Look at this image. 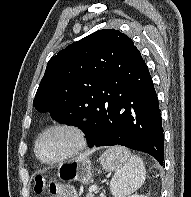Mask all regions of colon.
Listing matches in <instances>:
<instances>
[{
    "mask_svg": "<svg viewBox=\"0 0 191 197\" xmlns=\"http://www.w3.org/2000/svg\"><path fill=\"white\" fill-rule=\"evenodd\" d=\"M46 190H49L50 193L58 197H69L68 190H63L61 186L57 185L47 177L41 175L36 176L34 186L35 193L41 194Z\"/></svg>",
    "mask_w": 191,
    "mask_h": 197,
    "instance_id": "colon-1",
    "label": "colon"
}]
</instances>
